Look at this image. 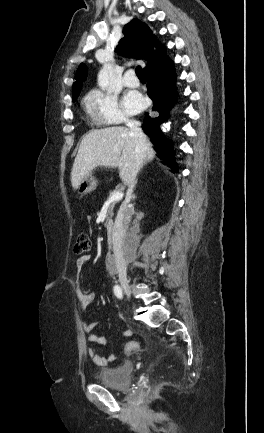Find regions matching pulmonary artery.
Wrapping results in <instances>:
<instances>
[{
	"label": "pulmonary artery",
	"instance_id": "e3ab8cb5",
	"mask_svg": "<svg viewBox=\"0 0 264 433\" xmlns=\"http://www.w3.org/2000/svg\"><path fill=\"white\" fill-rule=\"evenodd\" d=\"M124 85L130 88H135L139 86V80L134 75L133 70H128L125 72V75L123 77Z\"/></svg>",
	"mask_w": 264,
	"mask_h": 433
}]
</instances>
